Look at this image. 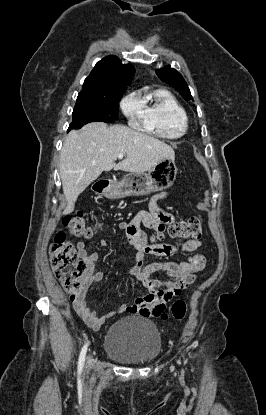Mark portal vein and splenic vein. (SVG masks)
Segmentation results:
<instances>
[{"label":"portal vein and splenic vein","mask_w":266,"mask_h":415,"mask_svg":"<svg viewBox=\"0 0 266 415\" xmlns=\"http://www.w3.org/2000/svg\"><path fill=\"white\" fill-rule=\"evenodd\" d=\"M124 157V153H119L118 159H122Z\"/></svg>","instance_id":"portal-vein-and-splenic-vein-1"}]
</instances>
